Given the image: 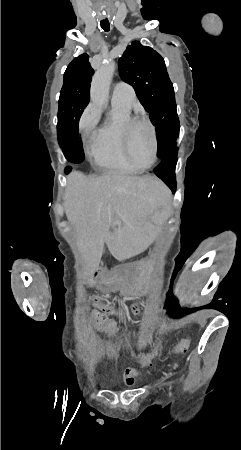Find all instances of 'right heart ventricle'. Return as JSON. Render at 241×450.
Instances as JSON below:
<instances>
[{"mask_svg": "<svg viewBox=\"0 0 241 450\" xmlns=\"http://www.w3.org/2000/svg\"><path fill=\"white\" fill-rule=\"evenodd\" d=\"M130 116L131 105L114 101L113 117L109 122L98 126L97 130H84L83 128L85 148L97 166L115 169H130L133 166L132 162H126L125 154L119 148L121 144L119 137L122 135L121 125Z\"/></svg>", "mask_w": 241, "mask_h": 450, "instance_id": "e07e8e85", "label": "right heart ventricle"}]
</instances>
